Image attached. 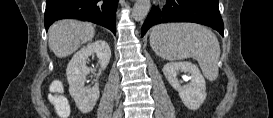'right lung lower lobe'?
I'll list each match as a JSON object with an SVG mask.
<instances>
[{
	"label": "right lung lower lobe",
	"instance_id": "obj_1",
	"mask_svg": "<svg viewBox=\"0 0 273 118\" xmlns=\"http://www.w3.org/2000/svg\"><path fill=\"white\" fill-rule=\"evenodd\" d=\"M117 4L118 0H47L44 25L47 31L56 20L74 18L102 25L116 34Z\"/></svg>",
	"mask_w": 273,
	"mask_h": 118
}]
</instances>
